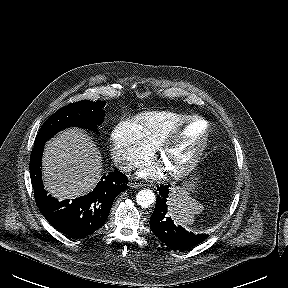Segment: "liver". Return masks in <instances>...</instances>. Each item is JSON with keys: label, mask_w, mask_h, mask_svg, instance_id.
<instances>
[{"label": "liver", "mask_w": 288, "mask_h": 288, "mask_svg": "<svg viewBox=\"0 0 288 288\" xmlns=\"http://www.w3.org/2000/svg\"><path fill=\"white\" fill-rule=\"evenodd\" d=\"M42 166L46 190L65 200L82 196L96 186L101 177L102 159L86 133L70 128L46 144Z\"/></svg>", "instance_id": "obj_1"}]
</instances>
